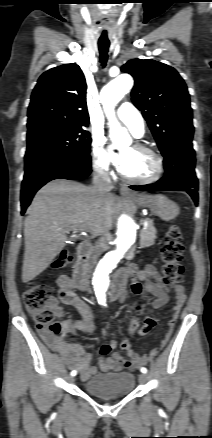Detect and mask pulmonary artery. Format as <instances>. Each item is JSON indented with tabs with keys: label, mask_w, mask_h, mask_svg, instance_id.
I'll return each instance as SVG.
<instances>
[{
	"label": "pulmonary artery",
	"mask_w": 212,
	"mask_h": 438,
	"mask_svg": "<svg viewBox=\"0 0 212 438\" xmlns=\"http://www.w3.org/2000/svg\"><path fill=\"white\" fill-rule=\"evenodd\" d=\"M117 119L125 124L135 136L144 134V120L139 110L130 103H123L116 112Z\"/></svg>",
	"instance_id": "obj_1"
}]
</instances>
